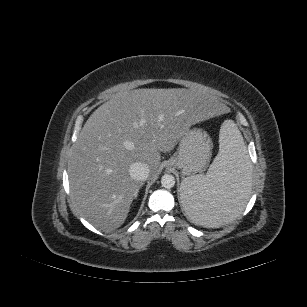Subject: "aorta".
Listing matches in <instances>:
<instances>
[{
  "mask_svg": "<svg viewBox=\"0 0 307 307\" xmlns=\"http://www.w3.org/2000/svg\"><path fill=\"white\" fill-rule=\"evenodd\" d=\"M161 184L164 188L170 189L175 185V178L171 174H164L161 178Z\"/></svg>",
  "mask_w": 307,
  "mask_h": 307,
  "instance_id": "aorta-1",
  "label": "aorta"
}]
</instances>
